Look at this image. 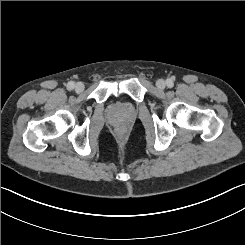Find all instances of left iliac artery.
<instances>
[{
  "label": "left iliac artery",
  "mask_w": 245,
  "mask_h": 245,
  "mask_svg": "<svg viewBox=\"0 0 245 245\" xmlns=\"http://www.w3.org/2000/svg\"><path fill=\"white\" fill-rule=\"evenodd\" d=\"M167 85H168V87H173V81L171 80V79H168L167 80Z\"/></svg>",
  "instance_id": "44dca946"
}]
</instances>
